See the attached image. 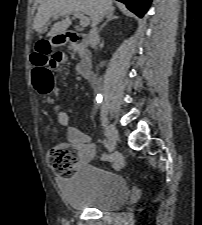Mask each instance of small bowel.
Here are the masks:
<instances>
[{"label": "small bowel", "instance_id": "c3829d8e", "mask_svg": "<svg viewBox=\"0 0 202 225\" xmlns=\"http://www.w3.org/2000/svg\"><path fill=\"white\" fill-rule=\"evenodd\" d=\"M30 61L34 63V55L30 57ZM52 110L56 115L58 123L67 127L69 139L77 146L79 163H90L95 156V145L90 137L79 128L69 125V116L61 109L57 101L52 103Z\"/></svg>", "mask_w": 202, "mask_h": 225}]
</instances>
